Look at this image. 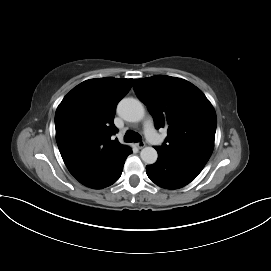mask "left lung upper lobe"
<instances>
[{
  "label": "left lung upper lobe",
  "instance_id": "obj_1",
  "mask_svg": "<svg viewBox=\"0 0 271 271\" xmlns=\"http://www.w3.org/2000/svg\"><path fill=\"white\" fill-rule=\"evenodd\" d=\"M133 87L156 128H168L158 148L206 164L214 148L217 118L203 92L184 79L165 75L134 79Z\"/></svg>",
  "mask_w": 271,
  "mask_h": 271
}]
</instances>
